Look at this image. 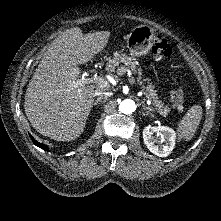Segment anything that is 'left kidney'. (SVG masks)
<instances>
[{
  "label": "left kidney",
  "instance_id": "left-kidney-1",
  "mask_svg": "<svg viewBox=\"0 0 221 221\" xmlns=\"http://www.w3.org/2000/svg\"><path fill=\"white\" fill-rule=\"evenodd\" d=\"M156 134V137L154 136ZM175 131L166 126H147L143 130V140L147 148L159 157H167L175 146Z\"/></svg>",
  "mask_w": 221,
  "mask_h": 221
}]
</instances>
